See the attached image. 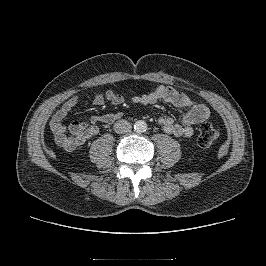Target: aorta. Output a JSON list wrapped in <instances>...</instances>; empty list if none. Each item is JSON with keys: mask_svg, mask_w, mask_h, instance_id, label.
<instances>
[{"mask_svg": "<svg viewBox=\"0 0 266 266\" xmlns=\"http://www.w3.org/2000/svg\"><path fill=\"white\" fill-rule=\"evenodd\" d=\"M134 129L138 132H144L147 129V124L145 121L138 120L134 125Z\"/></svg>", "mask_w": 266, "mask_h": 266, "instance_id": "aorta-1", "label": "aorta"}]
</instances>
